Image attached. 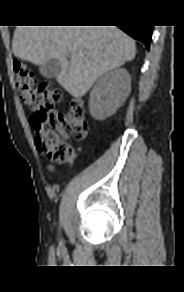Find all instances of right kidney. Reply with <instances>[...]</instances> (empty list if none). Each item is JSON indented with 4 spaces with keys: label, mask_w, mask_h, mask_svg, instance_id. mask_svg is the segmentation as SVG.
Masks as SVG:
<instances>
[{
    "label": "right kidney",
    "mask_w": 184,
    "mask_h": 292,
    "mask_svg": "<svg viewBox=\"0 0 184 292\" xmlns=\"http://www.w3.org/2000/svg\"><path fill=\"white\" fill-rule=\"evenodd\" d=\"M131 91V78L124 68H115L104 74L90 92L89 111L96 120L114 114Z\"/></svg>",
    "instance_id": "right-kidney-1"
}]
</instances>
